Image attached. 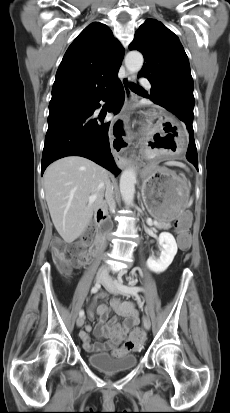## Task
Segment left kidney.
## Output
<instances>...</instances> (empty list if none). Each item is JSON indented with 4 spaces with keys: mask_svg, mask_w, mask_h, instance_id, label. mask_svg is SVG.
<instances>
[{
    "mask_svg": "<svg viewBox=\"0 0 230 413\" xmlns=\"http://www.w3.org/2000/svg\"><path fill=\"white\" fill-rule=\"evenodd\" d=\"M159 243L162 246L160 257L155 259L151 256L147 260V267L155 273H162L169 267L178 249L175 238L168 232L159 235Z\"/></svg>",
    "mask_w": 230,
    "mask_h": 413,
    "instance_id": "5707ae66",
    "label": "left kidney"
}]
</instances>
